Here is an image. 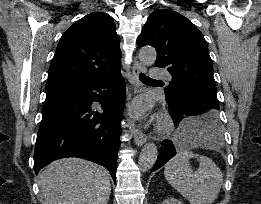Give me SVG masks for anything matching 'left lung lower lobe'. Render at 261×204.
Instances as JSON below:
<instances>
[{
    "label": "left lung lower lobe",
    "instance_id": "left-lung-lower-lobe-1",
    "mask_svg": "<svg viewBox=\"0 0 261 204\" xmlns=\"http://www.w3.org/2000/svg\"><path fill=\"white\" fill-rule=\"evenodd\" d=\"M167 103L175 125L187 116L204 114L202 116L205 118L202 119L197 128L199 134L213 139L220 138L221 131L217 118L219 108L207 99L199 95L187 93L179 97L176 101ZM161 145L160 154L151 172L163 166L169 159L176 155V149L172 141L164 140Z\"/></svg>",
    "mask_w": 261,
    "mask_h": 204
}]
</instances>
